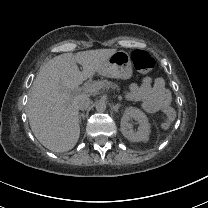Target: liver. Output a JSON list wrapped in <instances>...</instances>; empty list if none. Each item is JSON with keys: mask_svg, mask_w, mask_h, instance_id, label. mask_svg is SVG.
Listing matches in <instances>:
<instances>
[{"mask_svg": "<svg viewBox=\"0 0 208 208\" xmlns=\"http://www.w3.org/2000/svg\"><path fill=\"white\" fill-rule=\"evenodd\" d=\"M116 49H97L64 53L41 67L33 82L27 103V116L38 141L53 152H66L77 143L80 135V84L92 77ZM77 63L82 65L81 72Z\"/></svg>", "mask_w": 208, "mask_h": 208, "instance_id": "6515ba94", "label": "liver"}]
</instances>
